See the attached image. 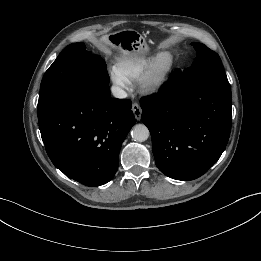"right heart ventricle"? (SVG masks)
Here are the masks:
<instances>
[{
    "label": "right heart ventricle",
    "instance_id": "1",
    "mask_svg": "<svg viewBox=\"0 0 261 261\" xmlns=\"http://www.w3.org/2000/svg\"><path fill=\"white\" fill-rule=\"evenodd\" d=\"M152 59L123 57L117 60L115 69L127 82L138 80L145 72Z\"/></svg>",
    "mask_w": 261,
    "mask_h": 261
}]
</instances>
